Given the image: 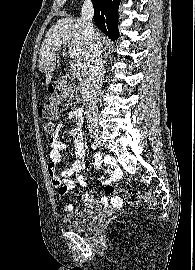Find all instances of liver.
Returning <instances> with one entry per match:
<instances>
[{
  "label": "liver",
  "mask_w": 195,
  "mask_h": 270,
  "mask_svg": "<svg viewBox=\"0 0 195 270\" xmlns=\"http://www.w3.org/2000/svg\"><path fill=\"white\" fill-rule=\"evenodd\" d=\"M64 39H69L71 46L74 49H79L81 54L85 56L87 34L81 18H62L46 33L39 54V70L45 73L46 86L51 82L52 73L56 67V51L64 44ZM63 55H65V52H63Z\"/></svg>",
  "instance_id": "liver-1"
}]
</instances>
